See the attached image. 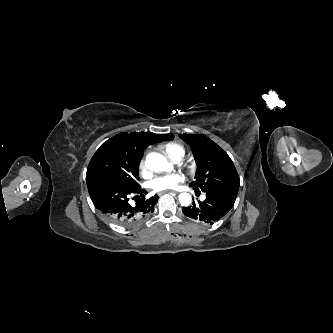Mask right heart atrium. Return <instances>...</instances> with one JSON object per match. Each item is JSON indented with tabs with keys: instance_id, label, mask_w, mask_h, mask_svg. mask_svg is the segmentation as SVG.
Returning a JSON list of instances; mask_svg holds the SVG:
<instances>
[{
	"instance_id": "right-heart-atrium-1",
	"label": "right heart atrium",
	"mask_w": 333,
	"mask_h": 333,
	"mask_svg": "<svg viewBox=\"0 0 333 333\" xmlns=\"http://www.w3.org/2000/svg\"><path fill=\"white\" fill-rule=\"evenodd\" d=\"M145 168H146V166H145V162L142 161V162L140 163V169H141L142 171H145Z\"/></svg>"
}]
</instances>
